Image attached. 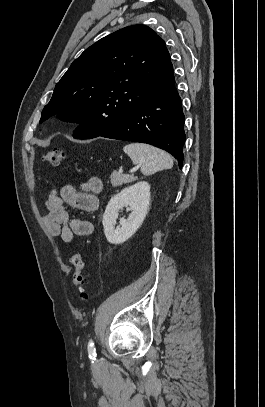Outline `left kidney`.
<instances>
[{
  "instance_id": "left-kidney-1",
  "label": "left kidney",
  "mask_w": 265,
  "mask_h": 407,
  "mask_svg": "<svg viewBox=\"0 0 265 407\" xmlns=\"http://www.w3.org/2000/svg\"><path fill=\"white\" fill-rule=\"evenodd\" d=\"M150 202V185L140 181L123 189L113 196L107 204L103 215V227L106 239L111 244H122L132 237L142 225ZM126 207L131 211L128 219L121 218L120 226L115 228L118 212Z\"/></svg>"
}]
</instances>
